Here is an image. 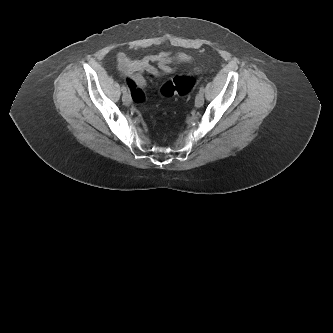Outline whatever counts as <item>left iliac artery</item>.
Instances as JSON below:
<instances>
[{"label":"left iliac artery","mask_w":333,"mask_h":333,"mask_svg":"<svg viewBox=\"0 0 333 333\" xmlns=\"http://www.w3.org/2000/svg\"><path fill=\"white\" fill-rule=\"evenodd\" d=\"M199 93H202V94L204 93V87L203 86L200 87Z\"/></svg>","instance_id":"obj_1"}]
</instances>
